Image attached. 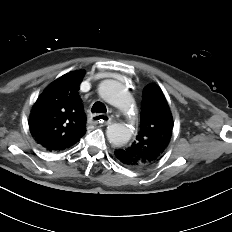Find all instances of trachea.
<instances>
[{"label": "trachea", "instance_id": "3493384b", "mask_svg": "<svg viewBox=\"0 0 232 232\" xmlns=\"http://www.w3.org/2000/svg\"><path fill=\"white\" fill-rule=\"evenodd\" d=\"M106 111V106L101 102L94 103L91 109L92 113H106Z\"/></svg>", "mask_w": 232, "mask_h": 232}]
</instances>
